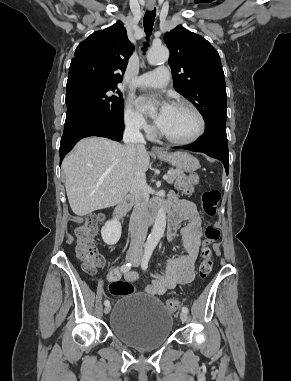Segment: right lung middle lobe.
<instances>
[{"mask_svg": "<svg viewBox=\"0 0 291 381\" xmlns=\"http://www.w3.org/2000/svg\"><path fill=\"white\" fill-rule=\"evenodd\" d=\"M65 101L67 107L73 105L86 108L94 119L123 116L122 94L114 84L84 78L68 80Z\"/></svg>", "mask_w": 291, "mask_h": 381, "instance_id": "obj_1", "label": "right lung middle lobe"}]
</instances>
